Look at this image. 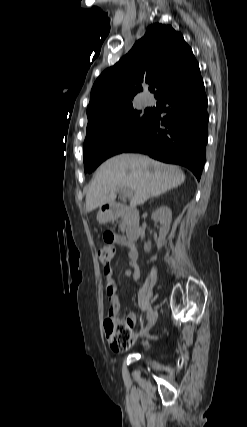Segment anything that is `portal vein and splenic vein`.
<instances>
[{"label":"portal vein and splenic vein","mask_w":247,"mask_h":427,"mask_svg":"<svg viewBox=\"0 0 247 427\" xmlns=\"http://www.w3.org/2000/svg\"><path fill=\"white\" fill-rule=\"evenodd\" d=\"M121 192H122V194L124 196H127V197H130L132 195V191L131 190L122 189Z\"/></svg>","instance_id":"obj_1"}]
</instances>
